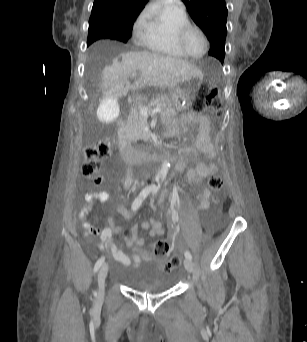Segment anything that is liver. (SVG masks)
I'll return each instance as SVG.
<instances>
[{"mask_svg": "<svg viewBox=\"0 0 307 342\" xmlns=\"http://www.w3.org/2000/svg\"><path fill=\"white\" fill-rule=\"evenodd\" d=\"M107 67L101 72L106 95L125 98L129 90H139L148 86L176 88L188 78L198 76L199 70L187 60L152 54V52H127L120 56H108ZM140 72L138 80L129 82L130 74Z\"/></svg>", "mask_w": 307, "mask_h": 342, "instance_id": "obj_1", "label": "liver"}]
</instances>
